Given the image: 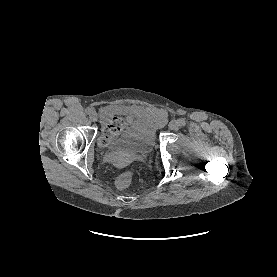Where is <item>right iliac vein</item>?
<instances>
[{
    "instance_id": "63e3f726",
    "label": "right iliac vein",
    "mask_w": 277,
    "mask_h": 277,
    "mask_svg": "<svg viewBox=\"0 0 277 277\" xmlns=\"http://www.w3.org/2000/svg\"><path fill=\"white\" fill-rule=\"evenodd\" d=\"M90 119H91V121H93V122H96V121H97L98 116H97L96 112H92V113L90 114Z\"/></svg>"
}]
</instances>
